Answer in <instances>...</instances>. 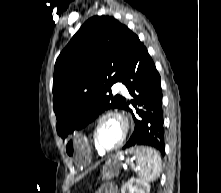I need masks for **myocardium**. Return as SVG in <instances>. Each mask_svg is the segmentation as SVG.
I'll return each instance as SVG.
<instances>
[{"label": "myocardium", "mask_w": 221, "mask_h": 193, "mask_svg": "<svg viewBox=\"0 0 221 193\" xmlns=\"http://www.w3.org/2000/svg\"><path fill=\"white\" fill-rule=\"evenodd\" d=\"M109 118L116 120L120 124L121 135H120L118 142L114 146H112L110 148H106V147H103L98 141V129H99L100 125L106 119H109ZM128 130H129L128 120L122 113H120L118 111H114V110H109V111L104 112L103 114H101L98 117V119L96 120V122L94 124V128H93V135L92 136H93V142H94L96 149L102 153H107V152H111V151L118 149L125 141L127 134H128Z\"/></svg>", "instance_id": "myocardium-1"}]
</instances>
